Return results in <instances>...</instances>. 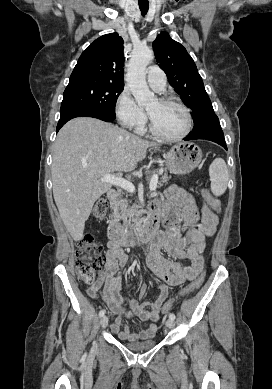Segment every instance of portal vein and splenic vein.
<instances>
[{
    "label": "portal vein and splenic vein",
    "instance_id": "18ae733b",
    "mask_svg": "<svg viewBox=\"0 0 272 389\" xmlns=\"http://www.w3.org/2000/svg\"><path fill=\"white\" fill-rule=\"evenodd\" d=\"M100 180L103 181V182L115 185L117 187H120V188H122L124 190H127L128 192H131V193H133L135 191L134 185L130 181H128V180H126V179H124L122 177H116L114 175L106 174ZM157 183H158V175L155 174L151 178V181H150V184H149V189L151 191H155L156 188H157Z\"/></svg>",
    "mask_w": 272,
    "mask_h": 389
}]
</instances>
